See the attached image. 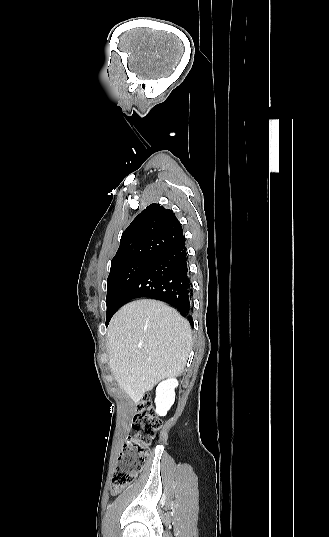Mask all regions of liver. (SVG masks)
<instances>
[{
	"instance_id": "1",
	"label": "liver",
	"mask_w": 329,
	"mask_h": 537,
	"mask_svg": "<svg viewBox=\"0 0 329 537\" xmlns=\"http://www.w3.org/2000/svg\"><path fill=\"white\" fill-rule=\"evenodd\" d=\"M191 344L186 319L163 302L142 299L113 316L106 349L119 387L139 402L159 381L183 372Z\"/></svg>"
}]
</instances>
